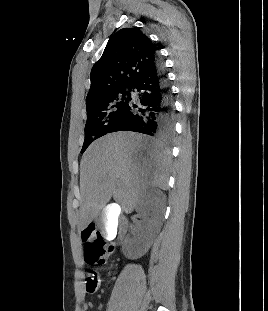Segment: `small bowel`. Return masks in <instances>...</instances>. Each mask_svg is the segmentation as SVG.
I'll use <instances>...</instances> for the list:
<instances>
[{
	"label": "small bowel",
	"instance_id": "c3829d8e",
	"mask_svg": "<svg viewBox=\"0 0 268 311\" xmlns=\"http://www.w3.org/2000/svg\"><path fill=\"white\" fill-rule=\"evenodd\" d=\"M92 307H93V305L91 302H84L83 303V310L84 311H88V310L92 309Z\"/></svg>",
	"mask_w": 268,
	"mask_h": 311
}]
</instances>
